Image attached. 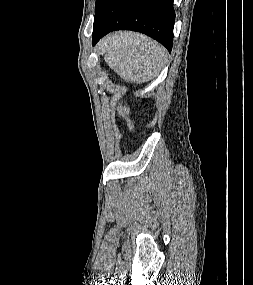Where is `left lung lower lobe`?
I'll use <instances>...</instances> for the list:
<instances>
[{
  "label": "left lung lower lobe",
  "mask_w": 253,
  "mask_h": 285,
  "mask_svg": "<svg viewBox=\"0 0 253 285\" xmlns=\"http://www.w3.org/2000/svg\"><path fill=\"white\" fill-rule=\"evenodd\" d=\"M173 0H107L94 20L93 45L114 30L144 33L169 52L173 45Z\"/></svg>",
  "instance_id": "0a47b994"
}]
</instances>
